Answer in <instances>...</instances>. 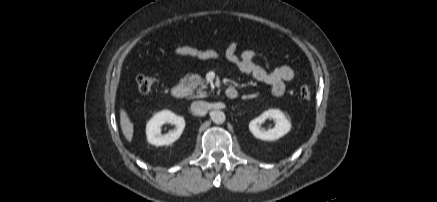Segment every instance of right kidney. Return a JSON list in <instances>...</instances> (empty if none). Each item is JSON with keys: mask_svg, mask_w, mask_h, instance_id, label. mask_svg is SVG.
I'll use <instances>...</instances> for the list:
<instances>
[{"mask_svg": "<svg viewBox=\"0 0 437 202\" xmlns=\"http://www.w3.org/2000/svg\"><path fill=\"white\" fill-rule=\"evenodd\" d=\"M165 123L175 125V129L169 131L167 134H162L161 126ZM184 128L185 120L183 117L177 116L171 111L164 110L155 114L147 123V140L155 146L169 145L181 136Z\"/></svg>", "mask_w": 437, "mask_h": 202, "instance_id": "right-kidney-1", "label": "right kidney"}]
</instances>
